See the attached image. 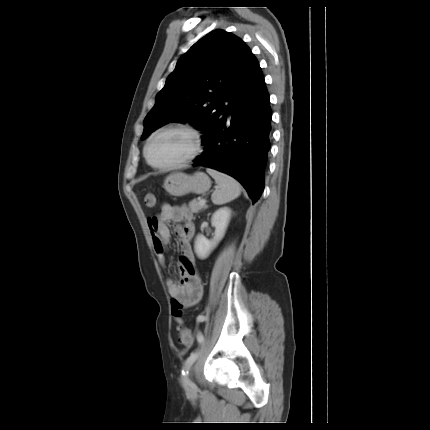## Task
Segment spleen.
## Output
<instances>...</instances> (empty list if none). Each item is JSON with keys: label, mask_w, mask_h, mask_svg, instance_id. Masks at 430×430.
<instances>
[{"label": "spleen", "mask_w": 430, "mask_h": 430, "mask_svg": "<svg viewBox=\"0 0 430 430\" xmlns=\"http://www.w3.org/2000/svg\"><path fill=\"white\" fill-rule=\"evenodd\" d=\"M206 171L218 185L211 196L214 204H226L240 195L241 187L236 179L215 169L207 168Z\"/></svg>", "instance_id": "obj_1"}]
</instances>
